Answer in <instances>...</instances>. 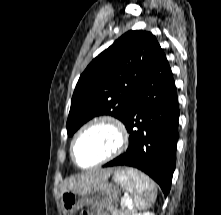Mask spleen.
<instances>
[{
	"label": "spleen",
	"instance_id": "1",
	"mask_svg": "<svg viewBox=\"0 0 221 215\" xmlns=\"http://www.w3.org/2000/svg\"><path fill=\"white\" fill-rule=\"evenodd\" d=\"M114 180L132 195L133 205L136 210L150 208L156 200V185L146 175L133 170L126 169L117 172Z\"/></svg>",
	"mask_w": 221,
	"mask_h": 215
}]
</instances>
